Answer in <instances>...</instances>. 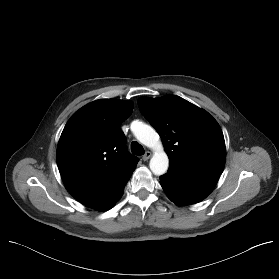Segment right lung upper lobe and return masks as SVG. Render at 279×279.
Segmentation results:
<instances>
[{
    "label": "right lung upper lobe",
    "mask_w": 279,
    "mask_h": 279,
    "mask_svg": "<svg viewBox=\"0 0 279 279\" xmlns=\"http://www.w3.org/2000/svg\"><path fill=\"white\" fill-rule=\"evenodd\" d=\"M133 102L93 101L66 123L57 148V164L68 192L78 201L100 195L129 178L138 159L126 150L119 128Z\"/></svg>",
    "instance_id": "right-lung-upper-lobe-1"
}]
</instances>
